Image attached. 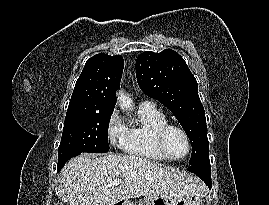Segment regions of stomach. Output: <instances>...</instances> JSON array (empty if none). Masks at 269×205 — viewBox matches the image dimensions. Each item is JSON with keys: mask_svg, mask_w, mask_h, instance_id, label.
Segmentation results:
<instances>
[{"mask_svg": "<svg viewBox=\"0 0 269 205\" xmlns=\"http://www.w3.org/2000/svg\"><path fill=\"white\" fill-rule=\"evenodd\" d=\"M116 205H203L200 196H189L181 198H164L155 196H145L139 203L130 200H122Z\"/></svg>", "mask_w": 269, "mask_h": 205, "instance_id": "stomach-1", "label": "stomach"}]
</instances>
